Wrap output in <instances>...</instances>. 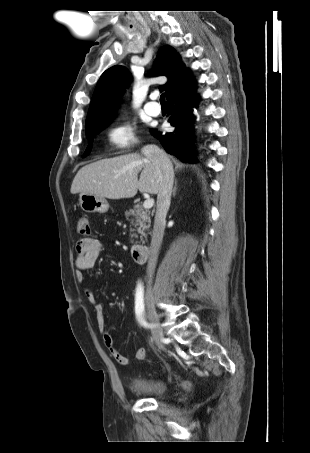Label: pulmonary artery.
I'll use <instances>...</instances> for the list:
<instances>
[{
    "label": "pulmonary artery",
    "instance_id": "1",
    "mask_svg": "<svg viewBox=\"0 0 310 453\" xmlns=\"http://www.w3.org/2000/svg\"><path fill=\"white\" fill-rule=\"evenodd\" d=\"M154 97L155 96H153V98ZM144 110L151 116H158L161 111L160 107L157 105H154L152 102L145 104Z\"/></svg>",
    "mask_w": 310,
    "mask_h": 453
}]
</instances>
